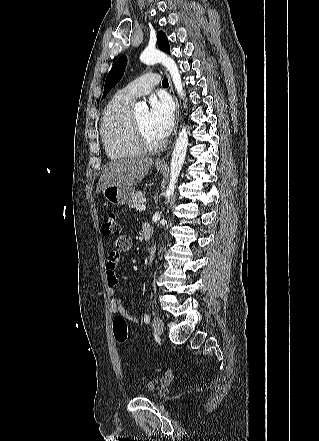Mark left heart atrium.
Segmentation results:
<instances>
[{"label":"left heart atrium","mask_w":319,"mask_h":441,"mask_svg":"<svg viewBox=\"0 0 319 441\" xmlns=\"http://www.w3.org/2000/svg\"><path fill=\"white\" fill-rule=\"evenodd\" d=\"M174 122L171 102L165 98H153L150 101L149 124L153 134L160 140L167 137Z\"/></svg>","instance_id":"39dd6f15"}]
</instances>
